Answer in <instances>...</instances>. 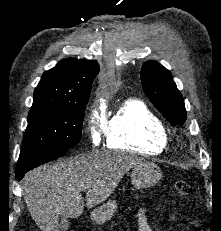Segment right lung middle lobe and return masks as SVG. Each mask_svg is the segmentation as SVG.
Returning a JSON list of instances; mask_svg holds the SVG:
<instances>
[{"label": "right lung middle lobe", "instance_id": "1", "mask_svg": "<svg viewBox=\"0 0 221 231\" xmlns=\"http://www.w3.org/2000/svg\"><path fill=\"white\" fill-rule=\"evenodd\" d=\"M88 100L31 107L17 165L68 151L80 141Z\"/></svg>", "mask_w": 221, "mask_h": 231}]
</instances>
